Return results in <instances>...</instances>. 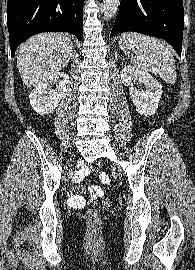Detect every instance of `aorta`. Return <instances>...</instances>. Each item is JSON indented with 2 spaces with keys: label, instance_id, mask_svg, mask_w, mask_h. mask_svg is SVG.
Returning a JSON list of instances; mask_svg holds the SVG:
<instances>
[{
  "label": "aorta",
  "instance_id": "1",
  "mask_svg": "<svg viewBox=\"0 0 195 270\" xmlns=\"http://www.w3.org/2000/svg\"><path fill=\"white\" fill-rule=\"evenodd\" d=\"M120 0H104V16L106 20L112 19L118 12Z\"/></svg>",
  "mask_w": 195,
  "mask_h": 270
}]
</instances>
